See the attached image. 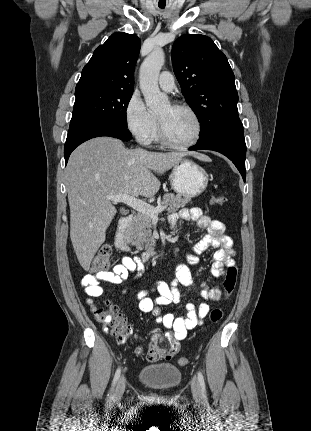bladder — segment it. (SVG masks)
<instances>
[{"label": "bladder", "instance_id": "obj_1", "mask_svg": "<svg viewBox=\"0 0 311 431\" xmlns=\"http://www.w3.org/2000/svg\"><path fill=\"white\" fill-rule=\"evenodd\" d=\"M138 378L144 385L152 389L168 391L179 385L181 372L173 364L156 363L141 368Z\"/></svg>", "mask_w": 311, "mask_h": 431}]
</instances>
